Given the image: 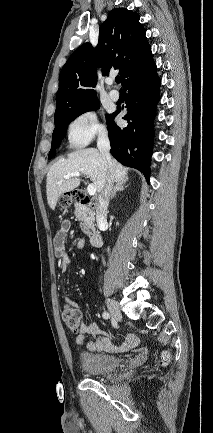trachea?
Masks as SVG:
<instances>
[{
  "instance_id": "3493384b",
  "label": "trachea",
  "mask_w": 213,
  "mask_h": 433,
  "mask_svg": "<svg viewBox=\"0 0 213 433\" xmlns=\"http://www.w3.org/2000/svg\"><path fill=\"white\" fill-rule=\"evenodd\" d=\"M115 82H116L117 84H119V83H120V77H116V78H115Z\"/></svg>"
}]
</instances>
